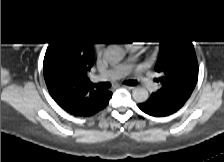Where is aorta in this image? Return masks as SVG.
Returning a JSON list of instances; mask_svg holds the SVG:
<instances>
[{
    "label": "aorta",
    "mask_w": 224,
    "mask_h": 162,
    "mask_svg": "<svg viewBox=\"0 0 224 162\" xmlns=\"http://www.w3.org/2000/svg\"><path fill=\"white\" fill-rule=\"evenodd\" d=\"M106 58L112 64L118 63L123 58V51L120 49L109 51L106 53ZM132 97L137 103H143L148 100L149 93L147 89L139 87L133 90Z\"/></svg>",
    "instance_id": "obj_1"
}]
</instances>
